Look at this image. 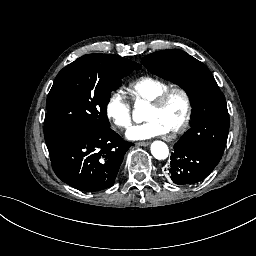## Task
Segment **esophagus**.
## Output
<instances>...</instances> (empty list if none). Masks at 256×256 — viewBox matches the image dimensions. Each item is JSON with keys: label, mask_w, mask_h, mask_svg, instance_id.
Here are the masks:
<instances>
[{"label": "esophagus", "mask_w": 256, "mask_h": 256, "mask_svg": "<svg viewBox=\"0 0 256 256\" xmlns=\"http://www.w3.org/2000/svg\"><path fill=\"white\" fill-rule=\"evenodd\" d=\"M137 146H148L150 144L149 141H140L135 143Z\"/></svg>", "instance_id": "34e87169"}]
</instances>
